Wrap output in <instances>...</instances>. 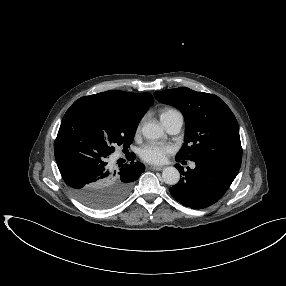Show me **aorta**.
<instances>
[{"mask_svg": "<svg viewBox=\"0 0 286 286\" xmlns=\"http://www.w3.org/2000/svg\"><path fill=\"white\" fill-rule=\"evenodd\" d=\"M142 134L150 140H157L163 137V128L154 123L148 122L142 127ZM162 179L168 185H175L180 180V173L175 167H166L162 172Z\"/></svg>", "mask_w": 286, "mask_h": 286, "instance_id": "1", "label": "aorta"}]
</instances>
